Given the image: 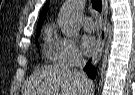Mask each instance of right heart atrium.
I'll use <instances>...</instances> for the list:
<instances>
[{"label": "right heart atrium", "instance_id": "obj_1", "mask_svg": "<svg viewBox=\"0 0 135 95\" xmlns=\"http://www.w3.org/2000/svg\"><path fill=\"white\" fill-rule=\"evenodd\" d=\"M51 59L58 63L81 58L82 54L76 43L69 37L57 35L50 44Z\"/></svg>", "mask_w": 135, "mask_h": 95}]
</instances>
